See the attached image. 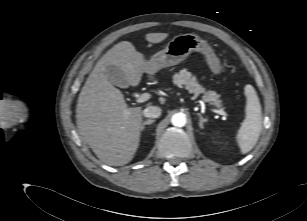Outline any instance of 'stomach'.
<instances>
[{"mask_svg":"<svg viewBox=\"0 0 307 221\" xmlns=\"http://www.w3.org/2000/svg\"><path fill=\"white\" fill-rule=\"evenodd\" d=\"M193 51L202 53L210 70L220 74L222 67L212 47L196 34L187 33L175 36L167 46L149 60L156 69L174 66L185 60Z\"/></svg>","mask_w":307,"mask_h":221,"instance_id":"obj_1","label":"stomach"}]
</instances>
